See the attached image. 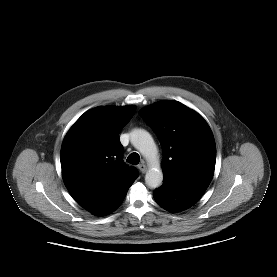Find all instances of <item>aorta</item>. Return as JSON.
<instances>
[{
  "mask_svg": "<svg viewBox=\"0 0 277 277\" xmlns=\"http://www.w3.org/2000/svg\"><path fill=\"white\" fill-rule=\"evenodd\" d=\"M130 137L132 145L149 163L150 167L145 175L147 186L158 188L163 182V172L158 160V150L152 136L144 129H134Z\"/></svg>",
  "mask_w": 277,
  "mask_h": 277,
  "instance_id": "aorta-1",
  "label": "aorta"
}]
</instances>
